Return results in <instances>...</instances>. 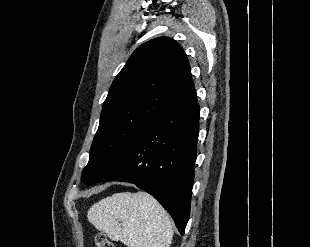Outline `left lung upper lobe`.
I'll use <instances>...</instances> for the list:
<instances>
[{
    "instance_id": "1",
    "label": "left lung upper lobe",
    "mask_w": 310,
    "mask_h": 247,
    "mask_svg": "<svg viewBox=\"0 0 310 247\" xmlns=\"http://www.w3.org/2000/svg\"><path fill=\"white\" fill-rule=\"evenodd\" d=\"M193 86L187 56L176 41L159 37L139 46L114 79L103 103L81 179L88 185L98 182Z\"/></svg>"
}]
</instances>
